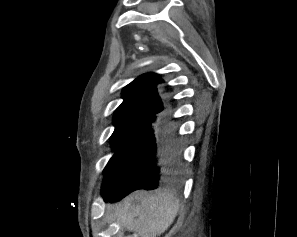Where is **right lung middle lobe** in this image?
I'll return each mask as SVG.
<instances>
[{
	"instance_id": "dd1d6c3e",
	"label": "right lung middle lobe",
	"mask_w": 297,
	"mask_h": 237,
	"mask_svg": "<svg viewBox=\"0 0 297 237\" xmlns=\"http://www.w3.org/2000/svg\"><path fill=\"white\" fill-rule=\"evenodd\" d=\"M152 123L149 119L114 123L115 131L111 136V145L115 153L105 167L102 189L118 186L128 157Z\"/></svg>"
}]
</instances>
